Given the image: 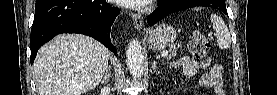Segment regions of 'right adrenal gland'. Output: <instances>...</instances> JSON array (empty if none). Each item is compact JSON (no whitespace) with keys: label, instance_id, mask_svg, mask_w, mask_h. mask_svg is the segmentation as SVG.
<instances>
[{"label":"right adrenal gland","instance_id":"1","mask_svg":"<svg viewBox=\"0 0 277 95\" xmlns=\"http://www.w3.org/2000/svg\"><path fill=\"white\" fill-rule=\"evenodd\" d=\"M111 78V67L107 66L106 73L101 80V84H107Z\"/></svg>","mask_w":277,"mask_h":95}]
</instances>
